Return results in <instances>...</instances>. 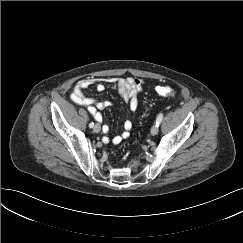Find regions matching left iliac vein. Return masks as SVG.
Instances as JSON below:
<instances>
[{
    "mask_svg": "<svg viewBox=\"0 0 243 243\" xmlns=\"http://www.w3.org/2000/svg\"><path fill=\"white\" fill-rule=\"evenodd\" d=\"M159 131L158 126L155 124L152 128H151V135H157Z\"/></svg>",
    "mask_w": 243,
    "mask_h": 243,
    "instance_id": "4c4485c4",
    "label": "left iliac vein"
}]
</instances>
